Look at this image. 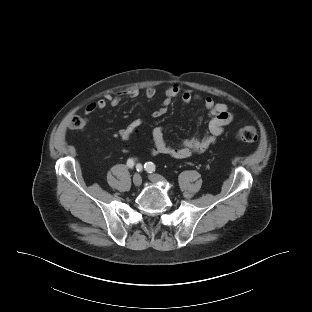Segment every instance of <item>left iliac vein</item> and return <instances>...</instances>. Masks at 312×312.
Wrapping results in <instances>:
<instances>
[{"label": "left iliac vein", "instance_id": "obj_1", "mask_svg": "<svg viewBox=\"0 0 312 312\" xmlns=\"http://www.w3.org/2000/svg\"><path fill=\"white\" fill-rule=\"evenodd\" d=\"M149 179L154 183L164 181V178L159 174H151V175H149Z\"/></svg>", "mask_w": 312, "mask_h": 312}]
</instances>
